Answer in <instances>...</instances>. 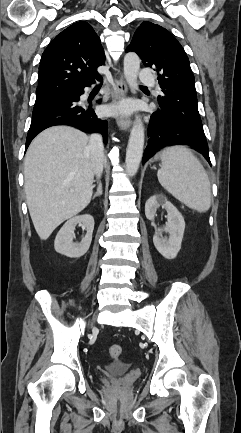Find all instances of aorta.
Returning a JSON list of instances; mask_svg holds the SVG:
<instances>
[{
  "mask_svg": "<svg viewBox=\"0 0 241 433\" xmlns=\"http://www.w3.org/2000/svg\"><path fill=\"white\" fill-rule=\"evenodd\" d=\"M140 69V58L135 53H127L124 57V76L131 88L135 91L137 89V77ZM144 126L139 116L131 129L127 149H126V171L130 176H134L140 166L143 147H144Z\"/></svg>",
  "mask_w": 241,
  "mask_h": 433,
  "instance_id": "obj_1",
  "label": "aorta"
}]
</instances>
